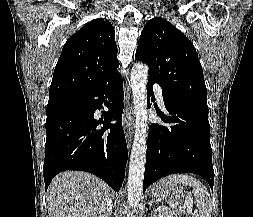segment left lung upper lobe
Masks as SVG:
<instances>
[{
  "mask_svg": "<svg viewBox=\"0 0 253 217\" xmlns=\"http://www.w3.org/2000/svg\"><path fill=\"white\" fill-rule=\"evenodd\" d=\"M149 67V81L169 97L207 105L202 66L192 42L167 20L156 17L143 28L135 54Z\"/></svg>",
  "mask_w": 253,
  "mask_h": 217,
  "instance_id": "5c2ea615",
  "label": "left lung upper lobe"
}]
</instances>
